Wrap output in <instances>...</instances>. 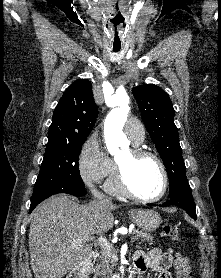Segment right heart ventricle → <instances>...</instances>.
<instances>
[{
  "label": "right heart ventricle",
  "mask_w": 221,
  "mask_h": 278,
  "mask_svg": "<svg viewBox=\"0 0 221 278\" xmlns=\"http://www.w3.org/2000/svg\"><path fill=\"white\" fill-rule=\"evenodd\" d=\"M134 145L137 146L138 144L134 143ZM107 189L112 194H115V195L122 194V192L119 190V188H118V186L116 184V178H115V174L114 173L109 177V180L107 182Z\"/></svg>",
  "instance_id": "1"
}]
</instances>
